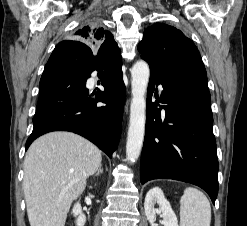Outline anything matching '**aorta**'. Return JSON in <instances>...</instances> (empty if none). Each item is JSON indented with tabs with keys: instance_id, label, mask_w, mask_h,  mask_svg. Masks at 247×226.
<instances>
[{
	"instance_id": "762f6f07",
	"label": "aorta",
	"mask_w": 247,
	"mask_h": 226,
	"mask_svg": "<svg viewBox=\"0 0 247 226\" xmlns=\"http://www.w3.org/2000/svg\"><path fill=\"white\" fill-rule=\"evenodd\" d=\"M132 100L130 106V126L127 136L126 155L130 163L135 162L142 149L145 121L146 100L145 95L149 82L150 69L145 61H137L131 71Z\"/></svg>"
}]
</instances>
